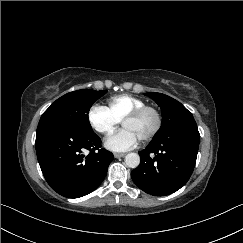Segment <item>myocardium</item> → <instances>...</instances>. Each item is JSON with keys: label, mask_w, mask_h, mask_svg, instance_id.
<instances>
[{"label": "myocardium", "mask_w": 243, "mask_h": 243, "mask_svg": "<svg viewBox=\"0 0 243 243\" xmlns=\"http://www.w3.org/2000/svg\"><path fill=\"white\" fill-rule=\"evenodd\" d=\"M146 113L153 114V116L155 117V125L152 128V130L149 132V134H147L143 139L140 140L142 143L149 142L160 131V129L162 127V123H163V119H162V115H161L160 111L157 108L152 107V106H143V107L133 110L132 112L127 114L121 120L122 124H123L125 121L138 119L139 117H141L142 115H144Z\"/></svg>", "instance_id": "obj_1"}]
</instances>
